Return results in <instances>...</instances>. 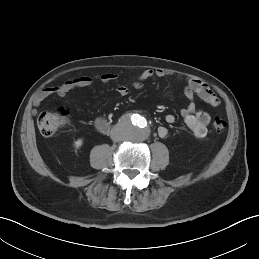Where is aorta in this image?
Here are the masks:
<instances>
[{
	"mask_svg": "<svg viewBox=\"0 0 259 259\" xmlns=\"http://www.w3.org/2000/svg\"><path fill=\"white\" fill-rule=\"evenodd\" d=\"M125 136L133 142L145 140L149 135V128L144 117L138 114L129 115L124 120Z\"/></svg>",
	"mask_w": 259,
	"mask_h": 259,
	"instance_id": "aorta-1",
	"label": "aorta"
}]
</instances>
